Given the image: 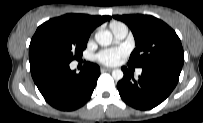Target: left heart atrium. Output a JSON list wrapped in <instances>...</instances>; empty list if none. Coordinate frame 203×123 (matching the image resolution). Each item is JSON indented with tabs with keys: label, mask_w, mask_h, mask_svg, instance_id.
Here are the masks:
<instances>
[{
	"label": "left heart atrium",
	"mask_w": 203,
	"mask_h": 123,
	"mask_svg": "<svg viewBox=\"0 0 203 123\" xmlns=\"http://www.w3.org/2000/svg\"><path fill=\"white\" fill-rule=\"evenodd\" d=\"M125 53V50L122 48L105 49L99 52L96 58L104 65H115L120 61Z\"/></svg>",
	"instance_id": "1"
}]
</instances>
